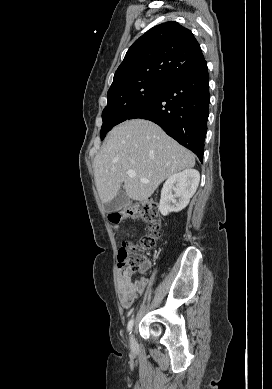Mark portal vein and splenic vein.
Masks as SVG:
<instances>
[{
	"label": "portal vein and splenic vein",
	"mask_w": 272,
	"mask_h": 389,
	"mask_svg": "<svg viewBox=\"0 0 272 389\" xmlns=\"http://www.w3.org/2000/svg\"><path fill=\"white\" fill-rule=\"evenodd\" d=\"M127 175H128V177H130V178L136 177V173H135V171H133V170H128V171H127ZM141 182H143V183H148L149 180H147V179H141Z\"/></svg>",
	"instance_id": "portal-vein-and-splenic-vein-1"
}]
</instances>
